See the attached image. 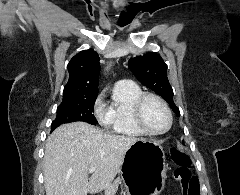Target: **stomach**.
<instances>
[{
  "instance_id": "obj_1",
  "label": "stomach",
  "mask_w": 240,
  "mask_h": 195,
  "mask_svg": "<svg viewBox=\"0 0 240 195\" xmlns=\"http://www.w3.org/2000/svg\"><path fill=\"white\" fill-rule=\"evenodd\" d=\"M164 149L157 139L141 137L126 151L120 167L124 195H160L165 187Z\"/></svg>"
}]
</instances>
